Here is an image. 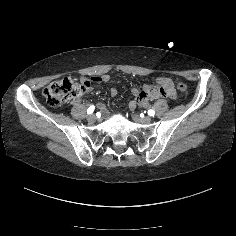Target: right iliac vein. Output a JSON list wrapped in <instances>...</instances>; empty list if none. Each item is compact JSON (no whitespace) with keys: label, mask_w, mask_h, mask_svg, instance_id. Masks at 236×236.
Segmentation results:
<instances>
[{"label":"right iliac vein","mask_w":236,"mask_h":236,"mask_svg":"<svg viewBox=\"0 0 236 236\" xmlns=\"http://www.w3.org/2000/svg\"><path fill=\"white\" fill-rule=\"evenodd\" d=\"M96 119H97V117H96L94 114H91V115L88 117V121H89L90 123L95 122Z\"/></svg>","instance_id":"63e3f726"}]
</instances>
